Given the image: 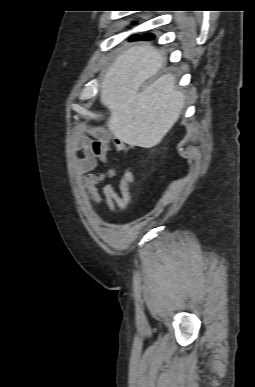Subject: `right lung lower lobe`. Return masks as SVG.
Instances as JSON below:
<instances>
[{"instance_id": "98d812e1", "label": "right lung lower lobe", "mask_w": 255, "mask_h": 387, "mask_svg": "<svg viewBox=\"0 0 255 387\" xmlns=\"http://www.w3.org/2000/svg\"><path fill=\"white\" fill-rule=\"evenodd\" d=\"M152 38H153V36H152V35L150 36V34H148V35H145V36L136 37V38H134V39H144V40H148V39H152Z\"/></svg>"}]
</instances>
